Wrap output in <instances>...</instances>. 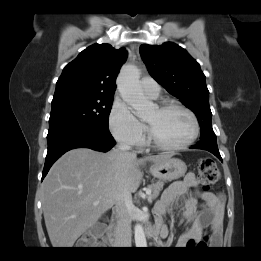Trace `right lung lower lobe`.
Listing matches in <instances>:
<instances>
[{"label": "right lung lower lobe", "mask_w": 261, "mask_h": 261, "mask_svg": "<svg viewBox=\"0 0 261 261\" xmlns=\"http://www.w3.org/2000/svg\"><path fill=\"white\" fill-rule=\"evenodd\" d=\"M48 152L42 173V180L53 163L65 152L74 148H90L107 152L114 145L115 140L109 129L86 125L70 124L50 128L47 135Z\"/></svg>", "instance_id": "obj_1"}]
</instances>
